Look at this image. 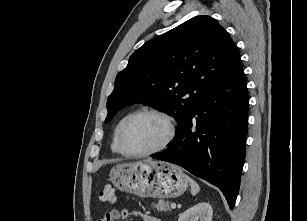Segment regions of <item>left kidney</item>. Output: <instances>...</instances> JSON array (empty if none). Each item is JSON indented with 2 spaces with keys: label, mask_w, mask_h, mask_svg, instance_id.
I'll return each mask as SVG.
<instances>
[{
  "label": "left kidney",
  "mask_w": 307,
  "mask_h": 221,
  "mask_svg": "<svg viewBox=\"0 0 307 221\" xmlns=\"http://www.w3.org/2000/svg\"><path fill=\"white\" fill-rule=\"evenodd\" d=\"M213 210L209 203L200 202L180 214L178 221H212Z\"/></svg>",
  "instance_id": "5707ae66"
}]
</instances>
